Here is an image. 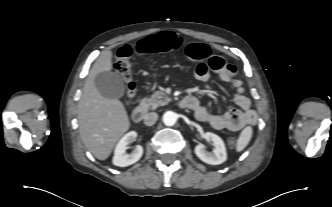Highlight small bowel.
<instances>
[{
  "mask_svg": "<svg viewBox=\"0 0 332 207\" xmlns=\"http://www.w3.org/2000/svg\"><path fill=\"white\" fill-rule=\"evenodd\" d=\"M211 73L228 82L234 89V102L239 109H229L225 113L217 114L202 106L194 97L190 110L200 122L208 123L216 130L238 131L246 125L254 124L257 120L255 111L251 108V102L244 95L242 82L236 78L235 66L225 62L220 56H214L207 63H200L195 67L194 75L199 81L206 82Z\"/></svg>",
  "mask_w": 332,
  "mask_h": 207,
  "instance_id": "obj_1",
  "label": "small bowel"
}]
</instances>
